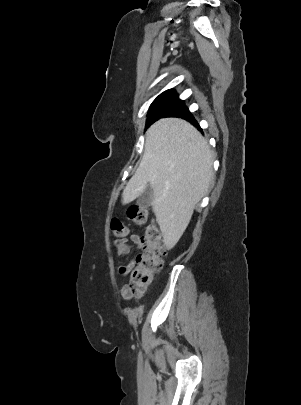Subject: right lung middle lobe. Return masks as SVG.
Wrapping results in <instances>:
<instances>
[{"label":"right lung middle lobe","instance_id":"1","mask_svg":"<svg viewBox=\"0 0 301 405\" xmlns=\"http://www.w3.org/2000/svg\"><path fill=\"white\" fill-rule=\"evenodd\" d=\"M187 112L189 110L184 105V101L180 100L174 91L163 93L154 100L149 108L146 128L159 118L175 117Z\"/></svg>","mask_w":301,"mask_h":405}]
</instances>
